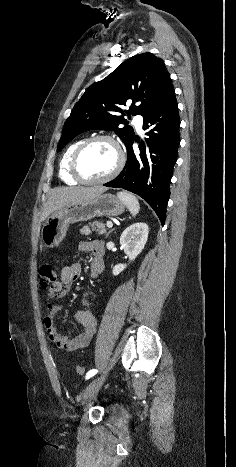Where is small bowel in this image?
I'll list each match as a JSON object with an SVG mask.
<instances>
[{
  "instance_id": "obj_1",
  "label": "small bowel",
  "mask_w": 236,
  "mask_h": 467,
  "mask_svg": "<svg viewBox=\"0 0 236 467\" xmlns=\"http://www.w3.org/2000/svg\"><path fill=\"white\" fill-rule=\"evenodd\" d=\"M78 251L81 254H88L91 256L90 270L93 276H97L102 272L104 267V246L101 241L80 242ZM81 271L82 266L80 262H74L71 265L63 267L60 280L48 291V298H65L70 293L73 283L80 277ZM82 305L83 307L76 313V318L82 326V332L78 336L69 339L61 335L54 324V318L60 311V306L54 303L47 304L44 326L48 339L63 351L71 352L86 347L95 333L96 320L93 314L87 309L88 293L83 299Z\"/></svg>"
}]
</instances>
